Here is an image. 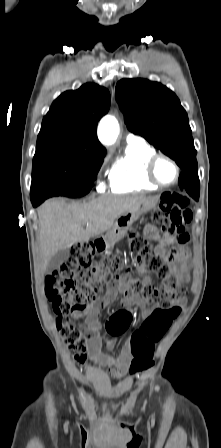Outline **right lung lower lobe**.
I'll return each instance as SVG.
<instances>
[{
	"label": "right lung lower lobe",
	"instance_id": "98d812e1",
	"mask_svg": "<svg viewBox=\"0 0 221 448\" xmlns=\"http://www.w3.org/2000/svg\"><path fill=\"white\" fill-rule=\"evenodd\" d=\"M31 201L34 207H37L40 205L45 199L52 197V196H58L55 195L53 192H49L46 190H38L33 191L31 190Z\"/></svg>",
	"mask_w": 221,
	"mask_h": 448
}]
</instances>
